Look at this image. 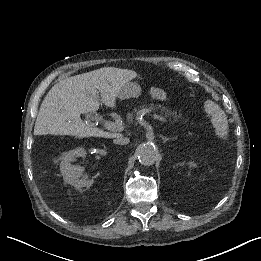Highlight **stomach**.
Returning a JSON list of instances; mask_svg holds the SVG:
<instances>
[{
	"mask_svg": "<svg viewBox=\"0 0 261 261\" xmlns=\"http://www.w3.org/2000/svg\"><path fill=\"white\" fill-rule=\"evenodd\" d=\"M141 87L135 82H128L118 93V98L128 99L135 98L141 95Z\"/></svg>",
	"mask_w": 261,
	"mask_h": 261,
	"instance_id": "stomach-1",
	"label": "stomach"
}]
</instances>
